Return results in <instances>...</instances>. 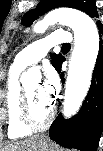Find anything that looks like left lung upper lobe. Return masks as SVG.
<instances>
[{
	"instance_id": "left-lung-upper-lobe-1",
	"label": "left lung upper lobe",
	"mask_w": 103,
	"mask_h": 151,
	"mask_svg": "<svg viewBox=\"0 0 103 151\" xmlns=\"http://www.w3.org/2000/svg\"><path fill=\"white\" fill-rule=\"evenodd\" d=\"M57 7H72L85 12L92 18L98 17L95 0H41L36 8L28 11L23 16L21 22L24 26H30L39 16ZM97 23L103 27L100 21ZM51 58L52 65L58 71L65 58L61 54H52Z\"/></svg>"
}]
</instances>
